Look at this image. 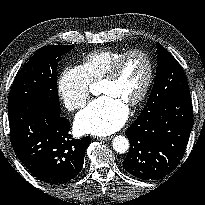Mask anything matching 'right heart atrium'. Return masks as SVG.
I'll list each match as a JSON object with an SVG mask.
<instances>
[{
  "instance_id": "d8ad5b80",
  "label": "right heart atrium",
  "mask_w": 205,
  "mask_h": 205,
  "mask_svg": "<svg viewBox=\"0 0 205 205\" xmlns=\"http://www.w3.org/2000/svg\"><path fill=\"white\" fill-rule=\"evenodd\" d=\"M57 93L69 111L84 107L90 94V82L81 66H67L57 79Z\"/></svg>"
}]
</instances>
